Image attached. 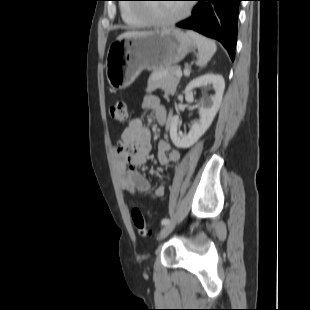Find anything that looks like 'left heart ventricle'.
I'll list each match as a JSON object with an SVG mask.
<instances>
[{
	"label": "left heart ventricle",
	"mask_w": 310,
	"mask_h": 310,
	"mask_svg": "<svg viewBox=\"0 0 310 310\" xmlns=\"http://www.w3.org/2000/svg\"><path fill=\"white\" fill-rule=\"evenodd\" d=\"M183 7L175 4H157L148 8L149 13L159 19H172L183 11Z\"/></svg>",
	"instance_id": "b2bd125f"
}]
</instances>
